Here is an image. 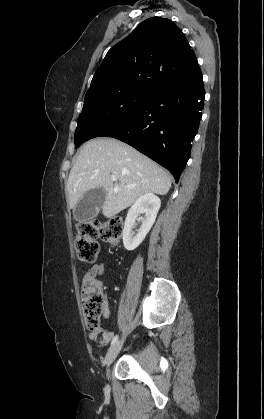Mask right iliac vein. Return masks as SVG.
I'll return each mask as SVG.
<instances>
[{"label":"right iliac vein","mask_w":264,"mask_h":419,"mask_svg":"<svg viewBox=\"0 0 264 419\" xmlns=\"http://www.w3.org/2000/svg\"><path fill=\"white\" fill-rule=\"evenodd\" d=\"M123 344V340L116 342L107 352L105 357V364L107 368V375H109L110 372V365L113 363L115 358L117 357L121 347Z\"/></svg>","instance_id":"63e3f726"}]
</instances>
